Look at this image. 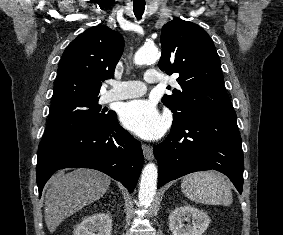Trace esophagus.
I'll return each instance as SVG.
<instances>
[{
    "label": "esophagus",
    "instance_id": "1",
    "mask_svg": "<svg viewBox=\"0 0 283 235\" xmlns=\"http://www.w3.org/2000/svg\"><path fill=\"white\" fill-rule=\"evenodd\" d=\"M142 150L146 160L153 159V148L150 145L142 144Z\"/></svg>",
    "mask_w": 283,
    "mask_h": 235
}]
</instances>
